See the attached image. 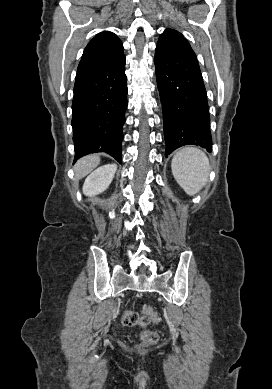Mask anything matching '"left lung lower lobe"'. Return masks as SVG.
Masks as SVG:
<instances>
[{
    "mask_svg": "<svg viewBox=\"0 0 272 389\" xmlns=\"http://www.w3.org/2000/svg\"><path fill=\"white\" fill-rule=\"evenodd\" d=\"M154 62L163 110L165 155L189 144L211 152L209 106L197 59L156 48Z\"/></svg>",
    "mask_w": 272,
    "mask_h": 389,
    "instance_id": "0a47b994",
    "label": "left lung lower lobe"
}]
</instances>
